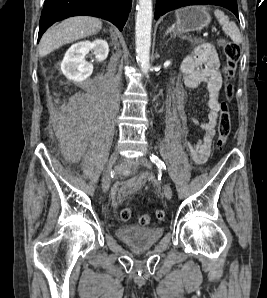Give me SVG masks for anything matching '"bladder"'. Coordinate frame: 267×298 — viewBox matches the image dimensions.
I'll use <instances>...</instances> for the list:
<instances>
[{
    "label": "bladder",
    "instance_id": "1",
    "mask_svg": "<svg viewBox=\"0 0 267 298\" xmlns=\"http://www.w3.org/2000/svg\"><path fill=\"white\" fill-rule=\"evenodd\" d=\"M162 227L121 226L116 230V236L130 247L143 250L155 245L163 236Z\"/></svg>",
    "mask_w": 267,
    "mask_h": 298
}]
</instances>
